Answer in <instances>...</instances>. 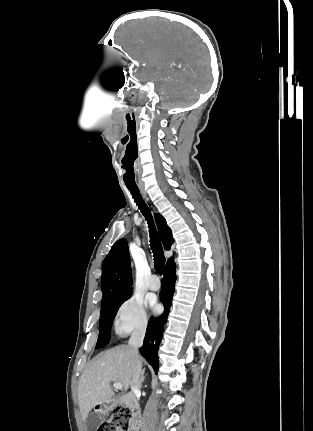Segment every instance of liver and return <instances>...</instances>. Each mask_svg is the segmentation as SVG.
<instances>
[{
	"instance_id": "6515ba94",
	"label": "liver",
	"mask_w": 313,
	"mask_h": 431,
	"mask_svg": "<svg viewBox=\"0 0 313 431\" xmlns=\"http://www.w3.org/2000/svg\"><path fill=\"white\" fill-rule=\"evenodd\" d=\"M137 361L143 359L134 355L130 346L120 345L100 353L83 372L78 384V400L82 419L86 421L89 412L97 404L109 402L114 396L111 382L122 383L127 391L136 371Z\"/></svg>"
}]
</instances>
